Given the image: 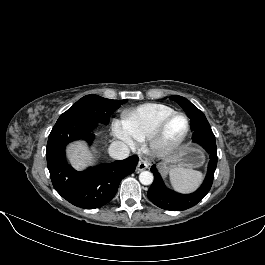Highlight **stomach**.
<instances>
[{"label":"stomach","instance_id":"stomach-1","mask_svg":"<svg viewBox=\"0 0 265 265\" xmlns=\"http://www.w3.org/2000/svg\"><path fill=\"white\" fill-rule=\"evenodd\" d=\"M204 160V153L201 149L195 146H185L168 159L165 168H195L201 166L204 163Z\"/></svg>","mask_w":265,"mask_h":265}]
</instances>
